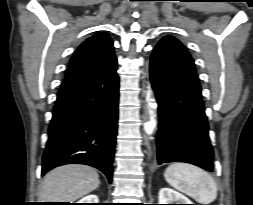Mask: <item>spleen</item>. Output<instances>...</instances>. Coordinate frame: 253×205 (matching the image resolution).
I'll use <instances>...</instances> for the list:
<instances>
[{"mask_svg": "<svg viewBox=\"0 0 253 205\" xmlns=\"http://www.w3.org/2000/svg\"><path fill=\"white\" fill-rule=\"evenodd\" d=\"M164 177L175 189L189 195L200 204H210L217 198V184L201 168L188 163L169 165Z\"/></svg>", "mask_w": 253, "mask_h": 205, "instance_id": "obj_1", "label": "spleen"}]
</instances>
